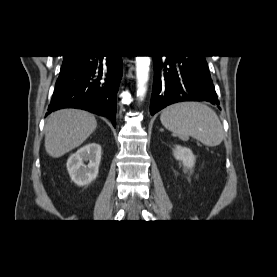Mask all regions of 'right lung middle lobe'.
<instances>
[{
    "instance_id": "right-lung-middle-lobe-1",
    "label": "right lung middle lobe",
    "mask_w": 277,
    "mask_h": 277,
    "mask_svg": "<svg viewBox=\"0 0 277 277\" xmlns=\"http://www.w3.org/2000/svg\"><path fill=\"white\" fill-rule=\"evenodd\" d=\"M70 59H71V57L66 56L64 58V60H63V64L62 65H64L66 62H68Z\"/></svg>"
}]
</instances>
